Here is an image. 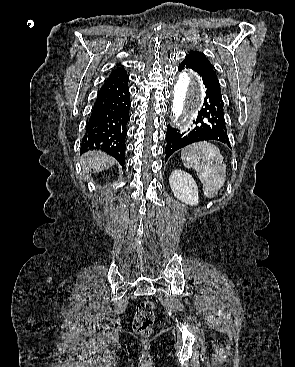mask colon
Here are the masks:
<instances>
[{
    "mask_svg": "<svg viewBox=\"0 0 295 367\" xmlns=\"http://www.w3.org/2000/svg\"><path fill=\"white\" fill-rule=\"evenodd\" d=\"M154 320V305L150 301H141L136 307V314L133 321L135 332L146 335L150 332Z\"/></svg>",
    "mask_w": 295,
    "mask_h": 367,
    "instance_id": "5ec220e1",
    "label": "colon"
}]
</instances>
